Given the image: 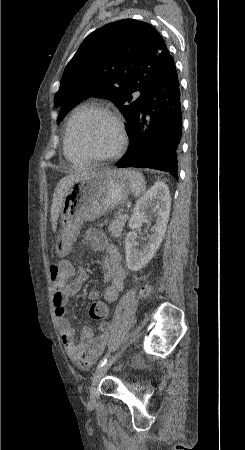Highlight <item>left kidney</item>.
Listing matches in <instances>:
<instances>
[{
    "label": "left kidney",
    "mask_w": 245,
    "mask_h": 450,
    "mask_svg": "<svg viewBox=\"0 0 245 450\" xmlns=\"http://www.w3.org/2000/svg\"><path fill=\"white\" fill-rule=\"evenodd\" d=\"M171 199L168 186L164 182H156L136 203L129 220L132 230L125 238L126 264L129 270L138 271L155 255L164 238L170 214ZM154 210L156 224L147 237V243L138 247L137 233L149 210Z\"/></svg>",
    "instance_id": "obj_1"
}]
</instances>
